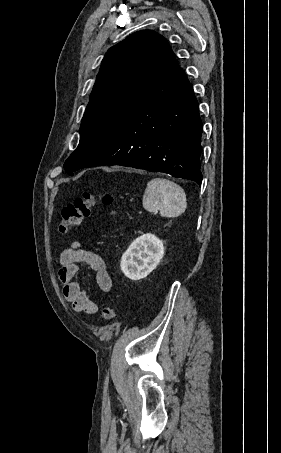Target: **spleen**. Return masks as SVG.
<instances>
[{"instance_id": "obj_1", "label": "spleen", "mask_w": 281, "mask_h": 453, "mask_svg": "<svg viewBox=\"0 0 281 453\" xmlns=\"http://www.w3.org/2000/svg\"><path fill=\"white\" fill-rule=\"evenodd\" d=\"M143 206L149 212L159 210L161 216H180L186 210V194L172 180L152 178L145 188Z\"/></svg>"}]
</instances>
